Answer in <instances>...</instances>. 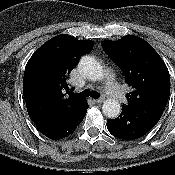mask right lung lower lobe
<instances>
[{"label":"right lung lower lobe","mask_w":175,"mask_h":175,"mask_svg":"<svg viewBox=\"0 0 175 175\" xmlns=\"http://www.w3.org/2000/svg\"><path fill=\"white\" fill-rule=\"evenodd\" d=\"M87 106L74 112H54L35 121L39 131L53 140H59L69 136L84 119Z\"/></svg>","instance_id":"1"}]
</instances>
